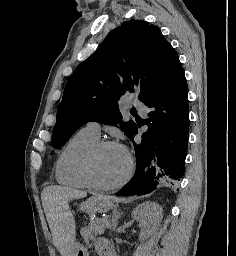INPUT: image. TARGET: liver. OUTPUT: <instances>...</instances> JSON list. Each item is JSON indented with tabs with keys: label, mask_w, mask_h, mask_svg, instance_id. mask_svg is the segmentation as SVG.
<instances>
[{
	"label": "liver",
	"mask_w": 236,
	"mask_h": 256,
	"mask_svg": "<svg viewBox=\"0 0 236 256\" xmlns=\"http://www.w3.org/2000/svg\"><path fill=\"white\" fill-rule=\"evenodd\" d=\"M85 196H87L86 192L72 190V188H63V186H47L42 192V204L52 236L54 240H59L60 238L57 246L61 256H71L75 240V224L68 202L74 200V198H85ZM64 208H66L69 222L68 240L62 238V236H57V230H59L60 224H62V210ZM61 244H65V246H61Z\"/></svg>",
	"instance_id": "1"
}]
</instances>
